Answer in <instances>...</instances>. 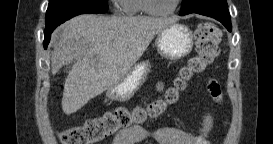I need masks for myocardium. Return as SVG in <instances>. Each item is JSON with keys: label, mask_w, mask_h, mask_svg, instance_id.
<instances>
[{"label": "myocardium", "mask_w": 273, "mask_h": 144, "mask_svg": "<svg viewBox=\"0 0 273 144\" xmlns=\"http://www.w3.org/2000/svg\"><path fill=\"white\" fill-rule=\"evenodd\" d=\"M181 0H175L174 5L169 10H156L151 7V0H142L141 8L142 10L153 16H166L174 13L176 9L178 8Z\"/></svg>", "instance_id": "myocardium-1"}]
</instances>
